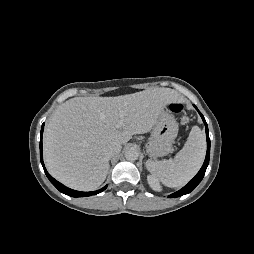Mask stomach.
Returning <instances> with one entry per match:
<instances>
[{"label": "stomach", "mask_w": 254, "mask_h": 254, "mask_svg": "<svg viewBox=\"0 0 254 254\" xmlns=\"http://www.w3.org/2000/svg\"><path fill=\"white\" fill-rule=\"evenodd\" d=\"M178 134V123L168 111H162L152 129L146 144V151L150 157H162L172 151V144Z\"/></svg>", "instance_id": "stomach-1"}]
</instances>
